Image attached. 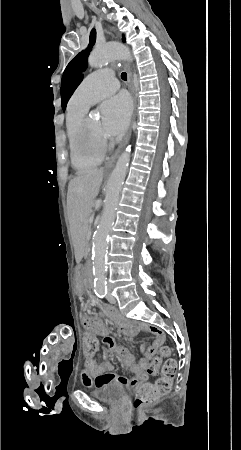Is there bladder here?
I'll return each mask as SVG.
<instances>
[{
    "mask_svg": "<svg viewBox=\"0 0 241 450\" xmlns=\"http://www.w3.org/2000/svg\"><path fill=\"white\" fill-rule=\"evenodd\" d=\"M125 388L115 383L105 384L93 392V396L98 400L114 403L119 402L125 397Z\"/></svg>",
    "mask_w": 241,
    "mask_h": 450,
    "instance_id": "obj_1",
    "label": "bladder"
}]
</instances>
